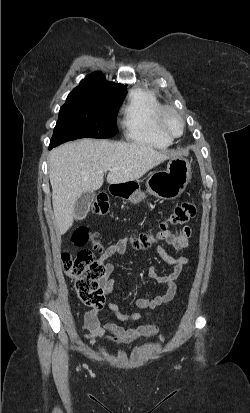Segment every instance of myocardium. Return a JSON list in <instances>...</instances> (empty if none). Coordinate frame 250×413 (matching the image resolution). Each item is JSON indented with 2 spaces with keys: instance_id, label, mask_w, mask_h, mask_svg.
Listing matches in <instances>:
<instances>
[{
  "instance_id": "1",
  "label": "myocardium",
  "mask_w": 250,
  "mask_h": 413,
  "mask_svg": "<svg viewBox=\"0 0 250 413\" xmlns=\"http://www.w3.org/2000/svg\"><path fill=\"white\" fill-rule=\"evenodd\" d=\"M167 115H173L179 120L181 129L178 134H174L167 129L165 125V118ZM156 127L163 136L173 140V139L180 137L183 134L184 129H185V121L181 113L177 111L174 107L164 105V106H161L157 112Z\"/></svg>"
}]
</instances>
